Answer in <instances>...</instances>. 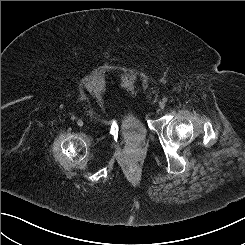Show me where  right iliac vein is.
<instances>
[{"label":"right iliac vein","mask_w":245,"mask_h":245,"mask_svg":"<svg viewBox=\"0 0 245 245\" xmlns=\"http://www.w3.org/2000/svg\"><path fill=\"white\" fill-rule=\"evenodd\" d=\"M77 125H78V126H83V121H82L81 119H78V120H77Z\"/></svg>","instance_id":"63e3f726"}]
</instances>
